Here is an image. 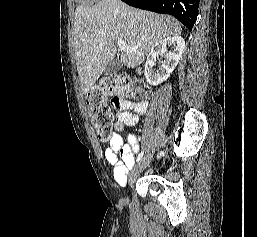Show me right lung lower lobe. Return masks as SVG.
Instances as JSON below:
<instances>
[{
    "mask_svg": "<svg viewBox=\"0 0 257 237\" xmlns=\"http://www.w3.org/2000/svg\"><path fill=\"white\" fill-rule=\"evenodd\" d=\"M128 5L161 14H170L190 31L198 14L200 0H122Z\"/></svg>",
    "mask_w": 257,
    "mask_h": 237,
    "instance_id": "1",
    "label": "right lung lower lobe"
}]
</instances>
